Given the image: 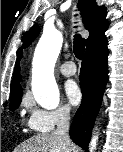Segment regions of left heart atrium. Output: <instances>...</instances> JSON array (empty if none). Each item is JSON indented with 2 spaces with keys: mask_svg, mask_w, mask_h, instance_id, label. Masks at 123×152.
<instances>
[{
  "mask_svg": "<svg viewBox=\"0 0 123 152\" xmlns=\"http://www.w3.org/2000/svg\"><path fill=\"white\" fill-rule=\"evenodd\" d=\"M64 92L68 102L71 105L76 106L80 103L82 99V93L80 87L75 81H67L64 85Z\"/></svg>",
  "mask_w": 123,
  "mask_h": 152,
  "instance_id": "39dd6f15",
  "label": "left heart atrium"
}]
</instances>
